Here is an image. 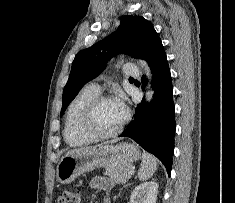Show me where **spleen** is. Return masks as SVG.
I'll list each match as a JSON object with an SVG mask.
<instances>
[{"label": "spleen", "mask_w": 235, "mask_h": 203, "mask_svg": "<svg viewBox=\"0 0 235 203\" xmlns=\"http://www.w3.org/2000/svg\"><path fill=\"white\" fill-rule=\"evenodd\" d=\"M157 170V160L151 154L144 152L138 177L140 180H147L153 176Z\"/></svg>", "instance_id": "1"}]
</instances>
